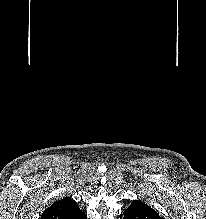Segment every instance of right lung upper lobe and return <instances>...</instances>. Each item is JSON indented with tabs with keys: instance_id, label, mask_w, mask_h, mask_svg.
Segmentation results:
<instances>
[{
	"instance_id": "cb5924a9",
	"label": "right lung upper lobe",
	"mask_w": 206,
	"mask_h": 219,
	"mask_svg": "<svg viewBox=\"0 0 206 219\" xmlns=\"http://www.w3.org/2000/svg\"><path fill=\"white\" fill-rule=\"evenodd\" d=\"M85 217L86 214L80 210L76 202L65 197L45 209L40 219H85Z\"/></svg>"
}]
</instances>
